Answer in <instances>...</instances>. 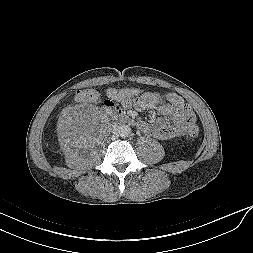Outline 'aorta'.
Listing matches in <instances>:
<instances>
[{"instance_id":"1","label":"aorta","mask_w":253,"mask_h":253,"mask_svg":"<svg viewBox=\"0 0 253 253\" xmlns=\"http://www.w3.org/2000/svg\"><path fill=\"white\" fill-rule=\"evenodd\" d=\"M117 133L121 137H128L131 134V128L128 125H120L117 127Z\"/></svg>"}]
</instances>
